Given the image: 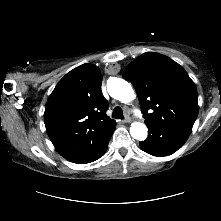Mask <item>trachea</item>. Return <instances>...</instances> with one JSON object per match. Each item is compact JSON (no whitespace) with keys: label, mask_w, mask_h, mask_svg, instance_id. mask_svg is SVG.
Wrapping results in <instances>:
<instances>
[{"label":"trachea","mask_w":221,"mask_h":221,"mask_svg":"<svg viewBox=\"0 0 221 221\" xmlns=\"http://www.w3.org/2000/svg\"><path fill=\"white\" fill-rule=\"evenodd\" d=\"M112 117L116 119H123V111L120 107H115L112 113Z\"/></svg>","instance_id":"3493384b"}]
</instances>
